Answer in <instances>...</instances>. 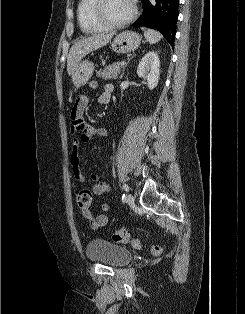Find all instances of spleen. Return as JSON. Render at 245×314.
Segmentation results:
<instances>
[{"label":"spleen","mask_w":245,"mask_h":314,"mask_svg":"<svg viewBox=\"0 0 245 314\" xmlns=\"http://www.w3.org/2000/svg\"><path fill=\"white\" fill-rule=\"evenodd\" d=\"M141 30L143 31L146 40L151 44H155L162 39V35L154 29L142 27Z\"/></svg>","instance_id":"spleen-1"}]
</instances>
